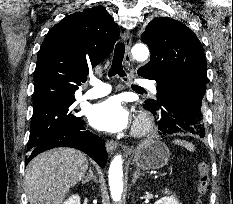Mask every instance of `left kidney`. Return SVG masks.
<instances>
[{"label": "left kidney", "instance_id": "obj_1", "mask_svg": "<svg viewBox=\"0 0 233 204\" xmlns=\"http://www.w3.org/2000/svg\"><path fill=\"white\" fill-rule=\"evenodd\" d=\"M166 194H170L167 189H165ZM154 204H180L177 198L173 195H168L157 200Z\"/></svg>", "mask_w": 233, "mask_h": 204}]
</instances>
